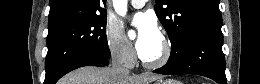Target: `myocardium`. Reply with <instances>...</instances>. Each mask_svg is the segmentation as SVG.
Here are the masks:
<instances>
[{
  "instance_id": "myocardium-1",
  "label": "myocardium",
  "mask_w": 260,
  "mask_h": 84,
  "mask_svg": "<svg viewBox=\"0 0 260 84\" xmlns=\"http://www.w3.org/2000/svg\"><path fill=\"white\" fill-rule=\"evenodd\" d=\"M161 43H162V51L158 58L154 60H147L144 57L140 56V61L144 67L149 69H158L165 66L169 62L172 54L171 42L166 35H162Z\"/></svg>"
}]
</instances>
